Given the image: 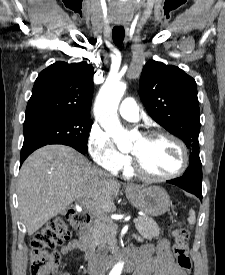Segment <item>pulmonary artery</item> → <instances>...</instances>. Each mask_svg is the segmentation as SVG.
<instances>
[{
  "mask_svg": "<svg viewBox=\"0 0 225 275\" xmlns=\"http://www.w3.org/2000/svg\"><path fill=\"white\" fill-rule=\"evenodd\" d=\"M119 114L129 121H137L139 119V107L132 97L125 98L119 106Z\"/></svg>",
  "mask_w": 225,
  "mask_h": 275,
  "instance_id": "pulmonary-artery-1",
  "label": "pulmonary artery"
}]
</instances>
